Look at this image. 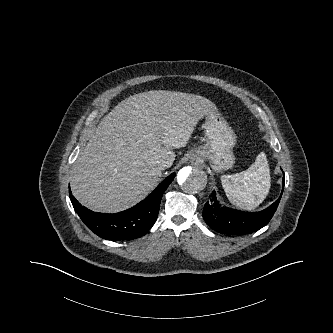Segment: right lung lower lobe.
I'll list each match as a JSON object with an SVG mask.
<instances>
[{"label":"right lung lower lobe","mask_w":333,"mask_h":333,"mask_svg":"<svg viewBox=\"0 0 333 333\" xmlns=\"http://www.w3.org/2000/svg\"><path fill=\"white\" fill-rule=\"evenodd\" d=\"M174 177L175 173H172L143 201L116 214L93 212L82 206L72 196L71 190L69 196L79 217L96 235L108 240H132L145 235L154 225L162 195Z\"/></svg>","instance_id":"right-lung-lower-lobe-1"}]
</instances>
